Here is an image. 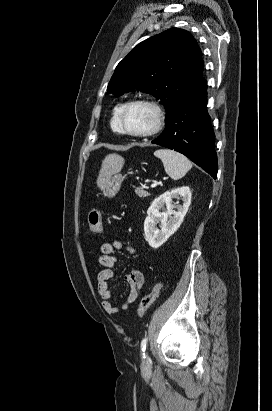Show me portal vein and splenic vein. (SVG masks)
I'll use <instances>...</instances> for the list:
<instances>
[{"instance_id": "obj_1", "label": "portal vein and splenic vein", "mask_w": 272, "mask_h": 411, "mask_svg": "<svg viewBox=\"0 0 272 411\" xmlns=\"http://www.w3.org/2000/svg\"><path fill=\"white\" fill-rule=\"evenodd\" d=\"M158 185H159V182H154L153 184H151V188H155Z\"/></svg>"}]
</instances>
